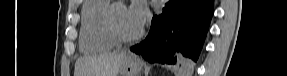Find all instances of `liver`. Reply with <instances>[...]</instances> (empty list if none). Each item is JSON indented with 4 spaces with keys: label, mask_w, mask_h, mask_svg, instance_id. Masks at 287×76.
I'll use <instances>...</instances> for the list:
<instances>
[{
    "label": "liver",
    "mask_w": 287,
    "mask_h": 76,
    "mask_svg": "<svg viewBox=\"0 0 287 76\" xmlns=\"http://www.w3.org/2000/svg\"><path fill=\"white\" fill-rule=\"evenodd\" d=\"M126 52L83 57L75 64V76H117Z\"/></svg>",
    "instance_id": "6515ba94"
}]
</instances>
